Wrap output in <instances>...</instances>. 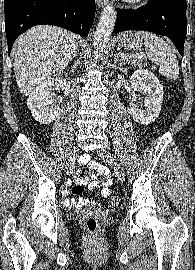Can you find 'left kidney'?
Masks as SVG:
<instances>
[{
    "instance_id": "5707ae66",
    "label": "left kidney",
    "mask_w": 195,
    "mask_h": 270,
    "mask_svg": "<svg viewBox=\"0 0 195 270\" xmlns=\"http://www.w3.org/2000/svg\"><path fill=\"white\" fill-rule=\"evenodd\" d=\"M133 94L139 92L145 96V109L141 110L131 101L128 111L131 117L140 124L147 125L155 121L159 116L163 100V86L151 71L145 69L136 70L131 78Z\"/></svg>"
}]
</instances>
